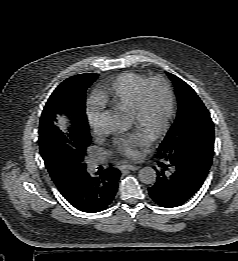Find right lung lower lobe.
Wrapping results in <instances>:
<instances>
[{"label": "right lung lower lobe", "instance_id": "1", "mask_svg": "<svg viewBox=\"0 0 238 261\" xmlns=\"http://www.w3.org/2000/svg\"><path fill=\"white\" fill-rule=\"evenodd\" d=\"M120 172L107 168L92 177L87 171L60 190L63 197L75 208L83 212L105 210L113 201L118 189Z\"/></svg>", "mask_w": 238, "mask_h": 261}]
</instances>
